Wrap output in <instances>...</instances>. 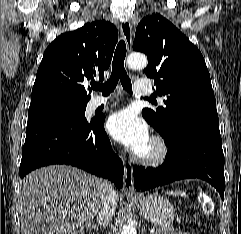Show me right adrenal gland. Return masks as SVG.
<instances>
[{"instance_id":"right-adrenal-gland-1","label":"right adrenal gland","mask_w":241,"mask_h":234,"mask_svg":"<svg viewBox=\"0 0 241 234\" xmlns=\"http://www.w3.org/2000/svg\"><path fill=\"white\" fill-rule=\"evenodd\" d=\"M90 230H94V231H98L99 230V228H98V226L97 225H93V226H90V228H89Z\"/></svg>"}]
</instances>
